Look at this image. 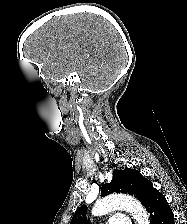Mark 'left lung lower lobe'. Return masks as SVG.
<instances>
[{"label": "left lung lower lobe", "instance_id": "1", "mask_svg": "<svg viewBox=\"0 0 187 224\" xmlns=\"http://www.w3.org/2000/svg\"><path fill=\"white\" fill-rule=\"evenodd\" d=\"M146 210L150 216V224H174V214L165 196L157 190L147 202Z\"/></svg>", "mask_w": 187, "mask_h": 224}]
</instances>
